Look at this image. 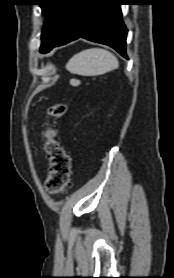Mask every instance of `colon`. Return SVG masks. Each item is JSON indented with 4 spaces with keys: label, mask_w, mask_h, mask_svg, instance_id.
Masks as SVG:
<instances>
[{
    "label": "colon",
    "mask_w": 174,
    "mask_h": 278,
    "mask_svg": "<svg viewBox=\"0 0 174 278\" xmlns=\"http://www.w3.org/2000/svg\"><path fill=\"white\" fill-rule=\"evenodd\" d=\"M67 107L63 103L53 104L48 107L47 115L50 119H59L65 115ZM44 149L49 161V172L45 182L49 193L58 194L67 190L71 180V156L62 146L58 132L50 124L44 132Z\"/></svg>",
    "instance_id": "obj_1"
}]
</instances>
